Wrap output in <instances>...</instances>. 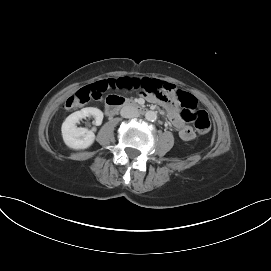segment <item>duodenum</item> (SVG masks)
Listing matches in <instances>:
<instances>
[{
	"instance_id": "1",
	"label": "duodenum",
	"mask_w": 271,
	"mask_h": 271,
	"mask_svg": "<svg viewBox=\"0 0 271 271\" xmlns=\"http://www.w3.org/2000/svg\"><path fill=\"white\" fill-rule=\"evenodd\" d=\"M122 107H131L138 113H144L145 111L139 104L117 96H113L107 100L105 111L108 116H113Z\"/></svg>"
}]
</instances>
